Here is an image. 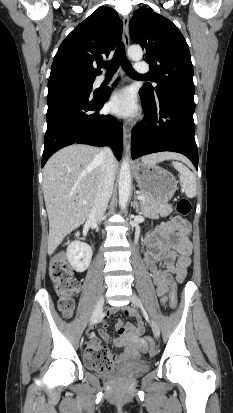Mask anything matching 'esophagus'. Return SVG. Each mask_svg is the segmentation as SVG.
Listing matches in <instances>:
<instances>
[{
	"mask_svg": "<svg viewBox=\"0 0 233 413\" xmlns=\"http://www.w3.org/2000/svg\"><path fill=\"white\" fill-rule=\"evenodd\" d=\"M123 42L126 48L130 45L129 36V17L126 15L123 17ZM123 140H124V150L126 153L129 152L131 144V132L127 127H123Z\"/></svg>",
	"mask_w": 233,
	"mask_h": 413,
	"instance_id": "1",
	"label": "esophagus"
}]
</instances>
